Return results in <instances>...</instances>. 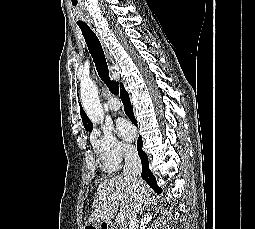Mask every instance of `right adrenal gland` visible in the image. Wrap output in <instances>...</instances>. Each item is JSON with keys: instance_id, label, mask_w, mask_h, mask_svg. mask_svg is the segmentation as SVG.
Returning <instances> with one entry per match:
<instances>
[{"instance_id": "1", "label": "right adrenal gland", "mask_w": 255, "mask_h": 229, "mask_svg": "<svg viewBox=\"0 0 255 229\" xmlns=\"http://www.w3.org/2000/svg\"><path fill=\"white\" fill-rule=\"evenodd\" d=\"M156 204H157V203H156V199L150 198V197L146 198L145 204H144V206L141 208L139 214H140V215L143 214L144 210H146V209H147L148 207H150L151 205H156Z\"/></svg>"}]
</instances>
